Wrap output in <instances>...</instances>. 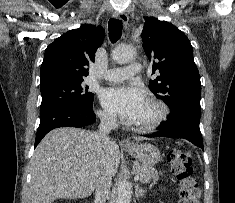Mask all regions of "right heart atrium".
Returning a JSON list of instances; mask_svg holds the SVG:
<instances>
[{
	"label": "right heart atrium",
	"instance_id": "obj_1",
	"mask_svg": "<svg viewBox=\"0 0 235 203\" xmlns=\"http://www.w3.org/2000/svg\"><path fill=\"white\" fill-rule=\"evenodd\" d=\"M98 115H99L100 119H101L105 124L112 125V124L115 123V118H114L111 114H109V113H107V112H105V111H103V110H100V111L98 112Z\"/></svg>",
	"mask_w": 235,
	"mask_h": 203
}]
</instances>
